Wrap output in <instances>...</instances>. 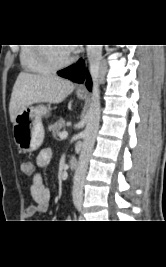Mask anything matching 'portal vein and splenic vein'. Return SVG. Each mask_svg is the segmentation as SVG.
<instances>
[{
	"mask_svg": "<svg viewBox=\"0 0 166 267\" xmlns=\"http://www.w3.org/2000/svg\"><path fill=\"white\" fill-rule=\"evenodd\" d=\"M59 137H60V139H66L67 137H68V133L67 132H61L60 134H59Z\"/></svg>",
	"mask_w": 166,
	"mask_h": 267,
	"instance_id": "1",
	"label": "portal vein and splenic vein"
}]
</instances>
